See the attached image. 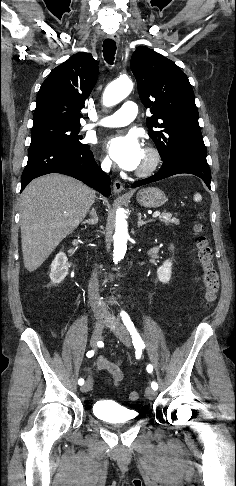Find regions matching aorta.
Here are the masks:
<instances>
[{"instance_id":"1","label":"aorta","mask_w":236,"mask_h":486,"mask_svg":"<svg viewBox=\"0 0 236 486\" xmlns=\"http://www.w3.org/2000/svg\"><path fill=\"white\" fill-rule=\"evenodd\" d=\"M133 89V83L129 78L118 79L110 83L103 94V102L112 106L126 98ZM124 209L118 208L116 211V226L113 236L114 250L113 260L115 263L124 258L127 250V240L129 238L127 221Z\"/></svg>"}]
</instances>
